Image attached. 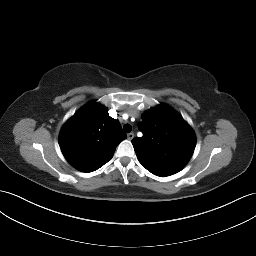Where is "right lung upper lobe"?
<instances>
[{
    "instance_id": "1",
    "label": "right lung upper lobe",
    "mask_w": 256,
    "mask_h": 256,
    "mask_svg": "<svg viewBox=\"0 0 256 256\" xmlns=\"http://www.w3.org/2000/svg\"><path fill=\"white\" fill-rule=\"evenodd\" d=\"M120 123L108 109L92 101L63 126L59 145L66 160L82 172H92L107 163L117 145L126 139Z\"/></svg>"
}]
</instances>
